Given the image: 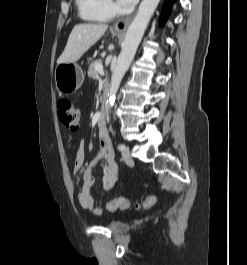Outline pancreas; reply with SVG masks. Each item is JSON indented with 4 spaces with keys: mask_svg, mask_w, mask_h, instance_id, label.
<instances>
[{
    "mask_svg": "<svg viewBox=\"0 0 247 265\" xmlns=\"http://www.w3.org/2000/svg\"><path fill=\"white\" fill-rule=\"evenodd\" d=\"M98 65H102V60H96L89 65L88 76L90 78H97L98 77V71L96 70V66H98Z\"/></svg>",
    "mask_w": 247,
    "mask_h": 265,
    "instance_id": "obj_1",
    "label": "pancreas"
}]
</instances>
